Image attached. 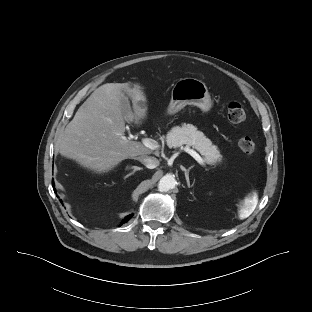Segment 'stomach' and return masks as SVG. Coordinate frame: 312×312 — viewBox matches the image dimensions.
Instances as JSON below:
<instances>
[{
  "instance_id": "obj_1",
  "label": "stomach",
  "mask_w": 312,
  "mask_h": 312,
  "mask_svg": "<svg viewBox=\"0 0 312 312\" xmlns=\"http://www.w3.org/2000/svg\"><path fill=\"white\" fill-rule=\"evenodd\" d=\"M186 105L197 106L203 112L211 110L212 100L204 82L195 78H183L176 82L167 112L175 114Z\"/></svg>"
}]
</instances>
